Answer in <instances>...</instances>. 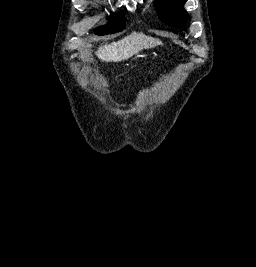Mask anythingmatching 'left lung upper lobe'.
<instances>
[{"mask_svg":"<svg viewBox=\"0 0 256 267\" xmlns=\"http://www.w3.org/2000/svg\"><path fill=\"white\" fill-rule=\"evenodd\" d=\"M187 0H155V7L165 17V21L174 26H182L187 22L188 14L183 9Z\"/></svg>","mask_w":256,"mask_h":267,"instance_id":"left-lung-upper-lobe-1","label":"left lung upper lobe"}]
</instances>
